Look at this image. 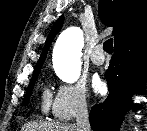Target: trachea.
Wrapping results in <instances>:
<instances>
[{
    "label": "trachea",
    "instance_id": "1",
    "mask_svg": "<svg viewBox=\"0 0 147 131\" xmlns=\"http://www.w3.org/2000/svg\"><path fill=\"white\" fill-rule=\"evenodd\" d=\"M103 48L107 53L113 52V39L110 38L103 43Z\"/></svg>",
    "mask_w": 147,
    "mask_h": 131
}]
</instances>
